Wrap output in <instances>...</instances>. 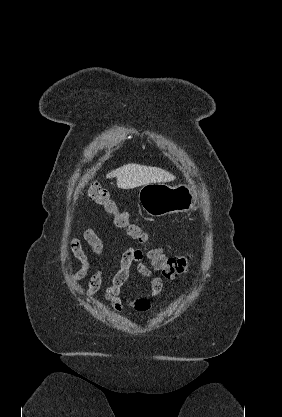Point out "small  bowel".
Wrapping results in <instances>:
<instances>
[{"label":"small bowel","instance_id":"obj_1","mask_svg":"<svg viewBox=\"0 0 282 417\" xmlns=\"http://www.w3.org/2000/svg\"><path fill=\"white\" fill-rule=\"evenodd\" d=\"M83 238L95 255H102L104 249L103 242L93 228H87L83 233ZM71 247L75 257L80 262V267L72 273L71 277L75 281H80L88 275L90 262L77 238L71 239ZM134 263H137V271L150 281V288L144 295L135 298L123 296L122 294V288L130 275L131 267ZM102 281L103 271L97 270L89 278L88 287L85 292L86 297L90 298L94 296L101 288ZM162 290L163 280L153 274L152 269L143 260L142 251L136 248H130L122 254L120 268L114 275L111 286L106 289L105 297L117 313L122 312L124 306H127L138 312L155 314V309L149 299L159 296Z\"/></svg>","mask_w":282,"mask_h":417}]
</instances>
